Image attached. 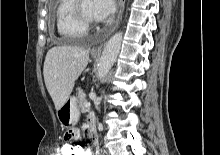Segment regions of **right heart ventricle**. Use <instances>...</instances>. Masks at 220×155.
I'll return each instance as SVG.
<instances>
[{
  "mask_svg": "<svg viewBox=\"0 0 220 155\" xmlns=\"http://www.w3.org/2000/svg\"><path fill=\"white\" fill-rule=\"evenodd\" d=\"M74 0H59L56 9V28L66 39H78L87 34V28L80 25L73 15Z\"/></svg>",
  "mask_w": 220,
  "mask_h": 155,
  "instance_id": "e07e8e85",
  "label": "right heart ventricle"
}]
</instances>
